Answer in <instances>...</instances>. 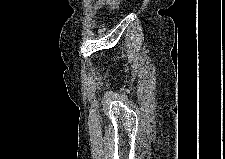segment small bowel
<instances>
[{
    "label": "small bowel",
    "instance_id": "obj_1",
    "mask_svg": "<svg viewBox=\"0 0 225 159\" xmlns=\"http://www.w3.org/2000/svg\"><path fill=\"white\" fill-rule=\"evenodd\" d=\"M105 5V0H97L93 3L92 9L94 11L100 10Z\"/></svg>",
    "mask_w": 225,
    "mask_h": 159
}]
</instances>
